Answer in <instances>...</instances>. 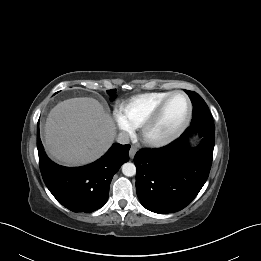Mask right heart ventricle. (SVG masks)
<instances>
[{
	"mask_svg": "<svg viewBox=\"0 0 261 261\" xmlns=\"http://www.w3.org/2000/svg\"><path fill=\"white\" fill-rule=\"evenodd\" d=\"M170 92H150L136 95L120 106V111L132 129L140 128Z\"/></svg>",
	"mask_w": 261,
	"mask_h": 261,
	"instance_id": "1",
	"label": "right heart ventricle"
}]
</instances>
